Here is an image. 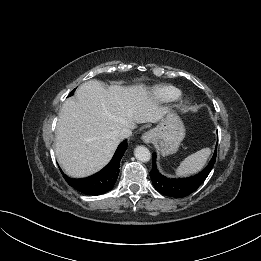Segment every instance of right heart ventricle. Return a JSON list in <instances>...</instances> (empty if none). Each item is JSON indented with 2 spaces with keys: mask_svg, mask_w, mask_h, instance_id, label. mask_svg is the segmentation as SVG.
<instances>
[{
  "mask_svg": "<svg viewBox=\"0 0 261 261\" xmlns=\"http://www.w3.org/2000/svg\"><path fill=\"white\" fill-rule=\"evenodd\" d=\"M182 94L181 89L173 85H158L152 90V98L158 103H170Z\"/></svg>",
  "mask_w": 261,
  "mask_h": 261,
  "instance_id": "1",
  "label": "right heart ventricle"
}]
</instances>
